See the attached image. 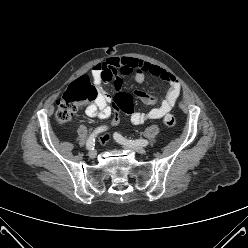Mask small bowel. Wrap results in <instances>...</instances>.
Instances as JSON below:
<instances>
[{"mask_svg":"<svg viewBox=\"0 0 248 248\" xmlns=\"http://www.w3.org/2000/svg\"><path fill=\"white\" fill-rule=\"evenodd\" d=\"M131 75L138 83H144L147 75L153 76L167 84L166 90L159 98H154L148 93L136 90L135 97L144 104H153L147 112H135L130 116L133 125H141L147 119H160L172 110L181 95V83L171 72L151 63L134 58L112 57L105 62L94 66L92 76L98 87V95L94 102L90 103L85 113L90 118L108 119L111 115V98L102 90V84L115 79V86L121 87L118 75Z\"/></svg>","mask_w":248,"mask_h":248,"instance_id":"small-bowel-1","label":"small bowel"}]
</instances>
